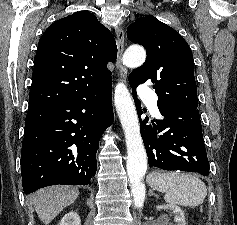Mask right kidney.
Here are the masks:
<instances>
[{
  "instance_id": "right-kidney-1",
  "label": "right kidney",
  "mask_w": 237,
  "mask_h": 225,
  "mask_svg": "<svg viewBox=\"0 0 237 225\" xmlns=\"http://www.w3.org/2000/svg\"><path fill=\"white\" fill-rule=\"evenodd\" d=\"M58 225H81L80 216L77 212H68L64 215Z\"/></svg>"
}]
</instances>
